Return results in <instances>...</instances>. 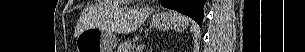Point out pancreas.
Wrapping results in <instances>:
<instances>
[{
    "mask_svg": "<svg viewBox=\"0 0 305 52\" xmlns=\"http://www.w3.org/2000/svg\"><path fill=\"white\" fill-rule=\"evenodd\" d=\"M134 41H126L118 47V52H134Z\"/></svg>",
    "mask_w": 305,
    "mask_h": 52,
    "instance_id": "pancreas-1",
    "label": "pancreas"
}]
</instances>
